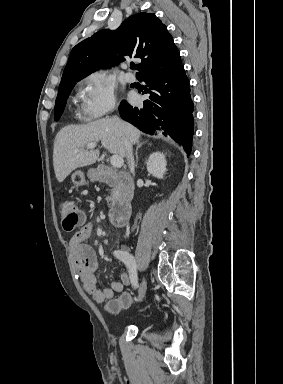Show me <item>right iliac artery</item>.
<instances>
[{"mask_svg": "<svg viewBox=\"0 0 283 384\" xmlns=\"http://www.w3.org/2000/svg\"><path fill=\"white\" fill-rule=\"evenodd\" d=\"M113 254L116 258L120 259L127 266L130 273L131 284L133 287L138 288L139 283H138V277H137L136 262L134 257L127 251H122V250H115Z\"/></svg>", "mask_w": 283, "mask_h": 384, "instance_id": "obj_1", "label": "right iliac artery"}]
</instances>
